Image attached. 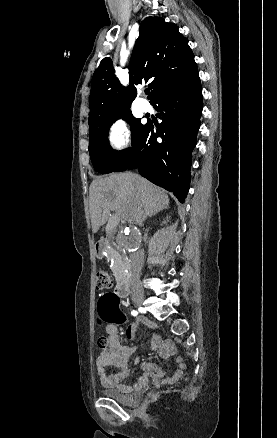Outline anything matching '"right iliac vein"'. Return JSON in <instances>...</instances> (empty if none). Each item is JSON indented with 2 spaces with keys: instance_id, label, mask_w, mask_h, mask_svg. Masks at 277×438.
I'll return each instance as SVG.
<instances>
[{
  "instance_id": "63e3f726",
  "label": "right iliac vein",
  "mask_w": 277,
  "mask_h": 438,
  "mask_svg": "<svg viewBox=\"0 0 277 438\" xmlns=\"http://www.w3.org/2000/svg\"><path fill=\"white\" fill-rule=\"evenodd\" d=\"M144 302V296L143 295H137L134 297V303L138 307H142Z\"/></svg>"
}]
</instances>
